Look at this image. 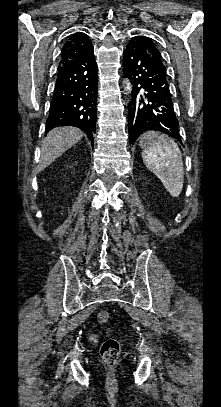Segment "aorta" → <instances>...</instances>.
<instances>
[{
  "label": "aorta",
  "instance_id": "obj_1",
  "mask_svg": "<svg viewBox=\"0 0 221 407\" xmlns=\"http://www.w3.org/2000/svg\"><path fill=\"white\" fill-rule=\"evenodd\" d=\"M127 89H128V90H130V89H131V87H130V85H129V84H128V86H127Z\"/></svg>",
  "mask_w": 221,
  "mask_h": 407
}]
</instances>
